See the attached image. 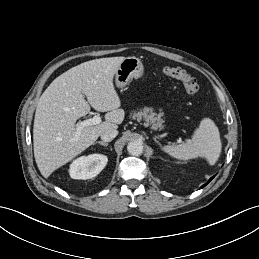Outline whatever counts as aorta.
Segmentation results:
<instances>
[{"mask_svg":"<svg viewBox=\"0 0 259 259\" xmlns=\"http://www.w3.org/2000/svg\"><path fill=\"white\" fill-rule=\"evenodd\" d=\"M143 143L139 140L131 141L127 145V151L130 155L139 156L143 153Z\"/></svg>","mask_w":259,"mask_h":259,"instance_id":"obj_1","label":"aorta"}]
</instances>
